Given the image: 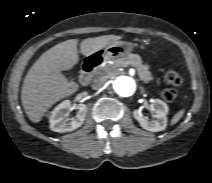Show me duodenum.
Listing matches in <instances>:
<instances>
[{
  "label": "duodenum",
  "mask_w": 212,
  "mask_h": 183,
  "mask_svg": "<svg viewBox=\"0 0 212 183\" xmlns=\"http://www.w3.org/2000/svg\"><path fill=\"white\" fill-rule=\"evenodd\" d=\"M102 62V57L98 55H91L85 58L82 64V70L80 74V82L87 84L90 81L91 75L95 68Z\"/></svg>",
  "instance_id": "410a0bca"
}]
</instances>
